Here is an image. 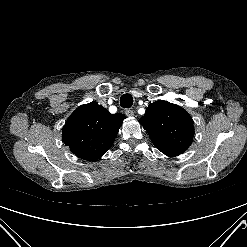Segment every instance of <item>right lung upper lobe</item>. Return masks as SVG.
Returning <instances> with one entry per match:
<instances>
[{
	"mask_svg": "<svg viewBox=\"0 0 247 247\" xmlns=\"http://www.w3.org/2000/svg\"><path fill=\"white\" fill-rule=\"evenodd\" d=\"M125 118L109 113L96 102L81 105L63 126V142L77 157L98 161L111 147Z\"/></svg>",
	"mask_w": 247,
	"mask_h": 247,
	"instance_id": "1",
	"label": "right lung upper lobe"
}]
</instances>
